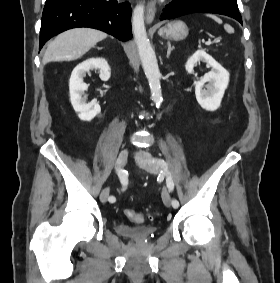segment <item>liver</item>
<instances>
[{
  "label": "liver",
  "instance_id": "1",
  "mask_svg": "<svg viewBox=\"0 0 280 283\" xmlns=\"http://www.w3.org/2000/svg\"><path fill=\"white\" fill-rule=\"evenodd\" d=\"M106 37V33L91 28H75L65 31L48 45L43 63L78 59Z\"/></svg>",
  "mask_w": 280,
  "mask_h": 283
}]
</instances>
